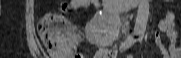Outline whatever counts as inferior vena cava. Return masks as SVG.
Returning <instances> with one entry per match:
<instances>
[{"label": "inferior vena cava", "mask_w": 181, "mask_h": 58, "mask_svg": "<svg viewBox=\"0 0 181 58\" xmlns=\"http://www.w3.org/2000/svg\"><path fill=\"white\" fill-rule=\"evenodd\" d=\"M128 29H129V21L125 20L123 31L126 33L128 31Z\"/></svg>", "instance_id": "inferior-vena-cava-1"}]
</instances>
